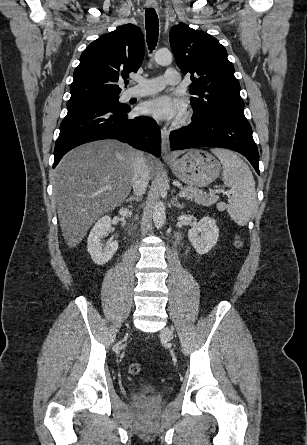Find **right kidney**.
Listing matches in <instances>:
<instances>
[{"mask_svg": "<svg viewBox=\"0 0 307 445\" xmlns=\"http://www.w3.org/2000/svg\"><path fill=\"white\" fill-rule=\"evenodd\" d=\"M119 212L121 216H131L132 214V210H129V208H120ZM110 229V216H102V218L97 220V223H95L88 237L87 251L90 253L91 259L94 261V263H96V265H106V263L112 259L113 255H115L118 249L117 241L110 239L105 249L102 251V243H100V239H102L104 235H107Z\"/></svg>", "mask_w": 307, "mask_h": 445, "instance_id": "ca27d5eb", "label": "right kidney"}]
</instances>
